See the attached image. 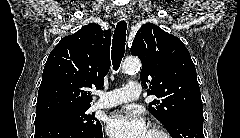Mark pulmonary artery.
<instances>
[{"mask_svg": "<svg viewBox=\"0 0 240 138\" xmlns=\"http://www.w3.org/2000/svg\"><path fill=\"white\" fill-rule=\"evenodd\" d=\"M141 87L137 81H130L122 88L110 92L96 91L100 100L96 102V108H112L124 103L136 100L141 94Z\"/></svg>", "mask_w": 240, "mask_h": 138, "instance_id": "1", "label": "pulmonary artery"}]
</instances>
